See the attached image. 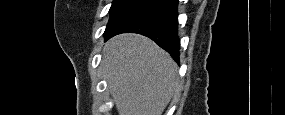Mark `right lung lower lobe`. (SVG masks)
<instances>
[{
  "label": "right lung lower lobe",
  "instance_id": "right-lung-lower-lobe-1",
  "mask_svg": "<svg viewBox=\"0 0 285 115\" xmlns=\"http://www.w3.org/2000/svg\"><path fill=\"white\" fill-rule=\"evenodd\" d=\"M178 0L156 2L133 14L105 36L106 40L120 33L145 35L170 53L179 63L180 41L177 36Z\"/></svg>",
  "mask_w": 285,
  "mask_h": 115
}]
</instances>
